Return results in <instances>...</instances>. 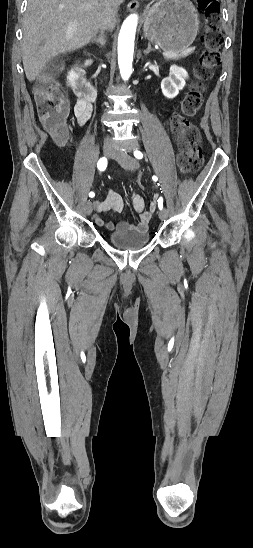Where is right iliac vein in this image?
<instances>
[{"instance_id":"1","label":"right iliac vein","mask_w":253,"mask_h":548,"mask_svg":"<svg viewBox=\"0 0 253 548\" xmlns=\"http://www.w3.org/2000/svg\"><path fill=\"white\" fill-rule=\"evenodd\" d=\"M114 151V145L111 143H106L103 147V153L106 157H110ZM93 206L91 202H87L85 206V211L88 215L92 213Z\"/></svg>"}]
</instances>
